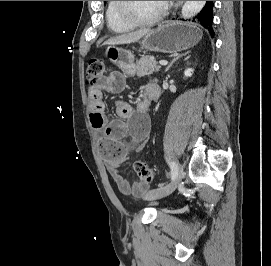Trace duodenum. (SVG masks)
<instances>
[{
	"mask_svg": "<svg viewBox=\"0 0 271 266\" xmlns=\"http://www.w3.org/2000/svg\"><path fill=\"white\" fill-rule=\"evenodd\" d=\"M160 90L157 85L151 84L147 90V97L149 99H155L159 96Z\"/></svg>",
	"mask_w": 271,
	"mask_h": 266,
	"instance_id": "1",
	"label": "duodenum"
}]
</instances>
